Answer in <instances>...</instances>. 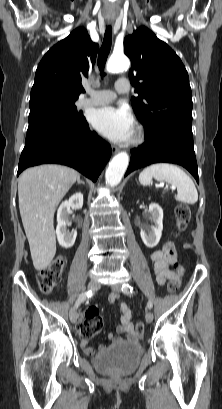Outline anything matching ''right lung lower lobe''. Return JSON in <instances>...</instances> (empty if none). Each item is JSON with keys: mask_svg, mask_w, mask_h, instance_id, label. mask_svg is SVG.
<instances>
[{"mask_svg": "<svg viewBox=\"0 0 222 409\" xmlns=\"http://www.w3.org/2000/svg\"><path fill=\"white\" fill-rule=\"evenodd\" d=\"M110 156V145L92 132L87 122L66 132L43 129L26 138L17 175L30 166L58 163L95 182Z\"/></svg>", "mask_w": 222, "mask_h": 409, "instance_id": "98d812e1", "label": "right lung lower lobe"}]
</instances>
